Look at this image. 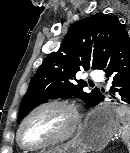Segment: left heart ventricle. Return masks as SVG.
I'll list each match as a JSON object with an SVG mask.
<instances>
[{"mask_svg":"<svg viewBox=\"0 0 130 153\" xmlns=\"http://www.w3.org/2000/svg\"><path fill=\"white\" fill-rule=\"evenodd\" d=\"M71 123L70 113L58 106L46 107L36 112L22 130V141L37 145L65 133Z\"/></svg>","mask_w":130,"mask_h":153,"instance_id":"left-heart-ventricle-1","label":"left heart ventricle"}]
</instances>
